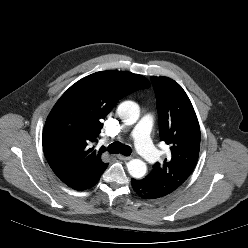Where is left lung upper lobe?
Returning <instances> with one entry per match:
<instances>
[{"instance_id":"5c2ea615","label":"left lung upper lobe","mask_w":248,"mask_h":248,"mask_svg":"<svg viewBox=\"0 0 248 248\" xmlns=\"http://www.w3.org/2000/svg\"><path fill=\"white\" fill-rule=\"evenodd\" d=\"M159 113L161 141L171 157L156 163L143 179L164 196L180 187L193 172L200 150V127L193 106L182 87L168 77H151Z\"/></svg>"}]
</instances>
